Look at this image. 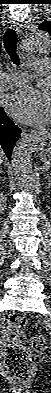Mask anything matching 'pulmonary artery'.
Instances as JSON below:
<instances>
[{
  "label": "pulmonary artery",
  "instance_id": "obj_1",
  "mask_svg": "<svg viewBox=\"0 0 51 393\" xmlns=\"http://www.w3.org/2000/svg\"><path fill=\"white\" fill-rule=\"evenodd\" d=\"M36 69L40 74H47L51 69L49 60H41L36 62ZM27 82V76L24 73H11L1 77L0 87L4 89H12L19 87Z\"/></svg>",
  "mask_w": 51,
  "mask_h": 393
}]
</instances>
